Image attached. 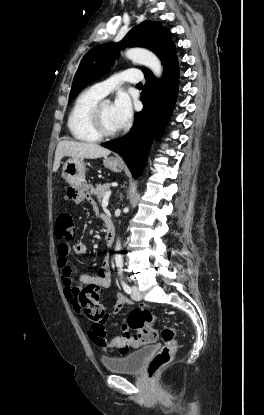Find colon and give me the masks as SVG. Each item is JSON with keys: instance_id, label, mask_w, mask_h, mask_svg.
Here are the masks:
<instances>
[{"instance_id": "colon-1", "label": "colon", "mask_w": 264, "mask_h": 415, "mask_svg": "<svg viewBox=\"0 0 264 415\" xmlns=\"http://www.w3.org/2000/svg\"><path fill=\"white\" fill-rule=\"evenodd\" d=\"M74 224L70 212H61L57 218L55 226V237L63 243H71L74 239ZM80 306L82 315L89 321L92 331L98 338L105 329L107 314L104 308L98 303V291L94 285H86L80 292ZM154 318V314L148 307H142L134 311L128 318V324L136 330V333L124 331L122 335L106 340L122 346L123 350L137 349L143 344L154 343L158 339L157 331L149 325ZM164 342L163 348L151 359L148 364V375L151 379L155 378L159 372L170 363L177 349L176 330L174 327H166L161 332Z\"/></svg>"}]
</instances>
